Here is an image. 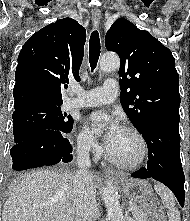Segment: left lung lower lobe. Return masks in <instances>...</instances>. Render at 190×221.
<instances>
[{
    "label": "left lung lower lobe",
    "mask_w": 190,
    "mask_h": 221,
    "mask_svg": "<svg viewBox=\"0 0 190 221\" xmlns=\"http://www.w3.org/2000/svg\"><path fill=\"white\" fill-rule=\"evenodd\" d=\"M179 122L159 119L141 132L148 145L147 168L132 173L134 178H153L165 184L184 206V173L180 159Z\"/></svg>",
    "instance_id": "0a47b994"
}]
</instances>
